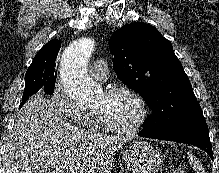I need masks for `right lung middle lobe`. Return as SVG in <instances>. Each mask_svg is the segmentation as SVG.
I'll return each mask as SVG.
<instances>
[{
  "label": "right lung middle lobe",
  "mask_w": 219,
  "mask_h": 173,
  "mask_svg": "<svg viewBox=\"0 0 219 173\" xmlns=\"http://www.w3.org/2000/svg\"><path fill=\"white\" fill-rule=\"evenodd\" d=\"M56 77L55 72H47L39 66H29L25 75V89L22 98H29L38 91L53 94Z\"/></svg>",
  "instance_id": "right-lung-middle-lobe-1"
}]
</instances>
